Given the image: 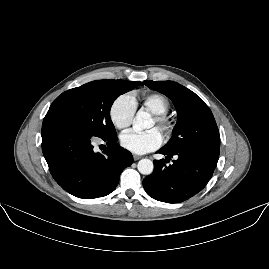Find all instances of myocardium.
<instances>
[{
	"label": "myocardium",
	"mask_w": 269,
	"mask_h": 269,
	"mask_svg": "<svg viewBox=\"0 0 269 269\" xmlns=\"http://www.w3.org/2000/svg\"><path fill=\"white\" fill-rule=\"evenodd\" d=\"M154 118L157 121L159 128L162 130L163 135H164V140L167 142L169 141L175 131V120L171 119L168 114L163 113V114H154Z\"/></svg>",
	"instance_id": "1"
}]
</instances>
